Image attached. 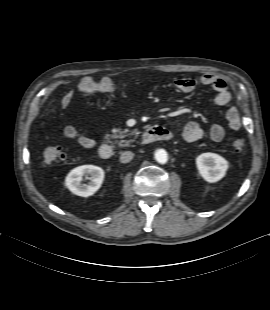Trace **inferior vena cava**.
<instances>
[{
  "instance_id": "602c4592",
  "label": "inferior vena cava",
  "mask_w": 270,
  "mask_h": 310,
  "mask_svg": "<svg viewBox=\"0 0 270 310\" xmlns=\"http://www.w3.org/2000/svg\"><path fill=\"white\" fill-rule=\"evenodd\" d=\"M133 157H134V154L131 151H125L120 156V162L128 163L133 159Z\"/></svg>"
}]
</instances>
